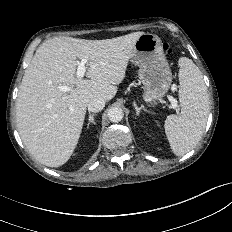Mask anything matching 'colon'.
<instances>
[{
    "instance_id": "obj_1",
    "label": "colon",
    "mask_w": 232,
    "mask_h": 232,
    "mask_svg": "<svg viewBox=\"0 0 232 232\" xmlns=\"http://www.w3.org/2000/svg\"><path fill=\"white\" fill-rule=\"evenodd\" d=\"M163 48L166 54H171L173 52V49L169 44H164Z\"/></svg>"
}]
</instances>
